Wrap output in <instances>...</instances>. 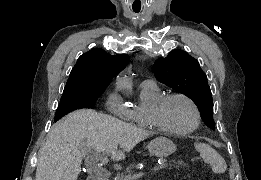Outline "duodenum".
I'll list each match as a JSON object with an SVG mask.
<instances>
[{
	"mask_svg": "<svg viewBox=\"0 0 261 180\" xmlns=\"http://www.w3.org/2000/svg\"><path fill=\"white\" fill-rule=\"evenodd\" d=\"M86 180H108L106 173H93L92 177H86Z\"/></svg>",
	"mask_w": 261,
	"mask_h": 180,
	"instance_id": "duodenum-1",
	"label": "duodenum"
}]
</instances>
